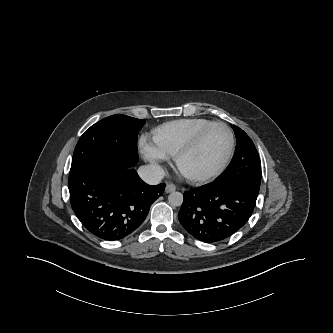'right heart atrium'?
<instances>
[{
    "instance_id": "right-heart-atrium-1",
    "label": "right heart atrium",
    "mask_w": 333,
    "mask_h": 333,
    "mask_svg": "<svg viewBox=\"0 0 333 333\" xmlns=\"http://www.w3.org/2000/svg\"><path fill=\"white\" fill-rule=\"evenodd\" d=\"M139 148L145 160H147L156 169H160L161 163L167 159V155L160 151L146 138H142L140 140Z\"/></svg>"
}]
</instances>
